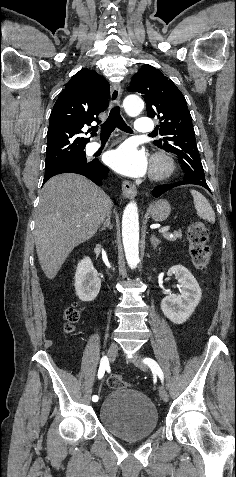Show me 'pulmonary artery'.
<instances>
[{
  "label": "pulmonary artery",
  "instance_id": "1",
  "mask_svg": "<svg viewBox=\"0 0 236 477\" xmlns=\"http://www.w3.org/2000/svg\"><path fill=\"white\" fill-rule=\"evenodd\" d=\"M154 129V124L149 118H139L135 122L134 131L136 133H150ZM99 144L94 143V148H98Z\"/></svg>",
  "mask_w": 236,
  "mask_h": 477
}]
</instances>
